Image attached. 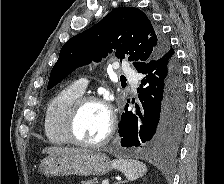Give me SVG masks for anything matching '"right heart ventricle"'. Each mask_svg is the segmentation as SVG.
Wrapping results in <instances>:
<instances>
[{"mask_svg": "<svg viewBox=\"0 0 224 184\" xmlns=\"http://www.w3.org/2000/svg\"><path fill=\"white\" fill-rule=\"evenodd\" d=\"M82 95L75 85L59 91L47 106L44 129L47 139L55 145H65L69 141L65 133V121L72 103Z\"/></svg>", "mask_w": 224, "mask_h": 184, "instance_id": "e07e8e85", "label": "right heart ventricle"}]
</instances>
